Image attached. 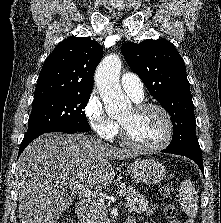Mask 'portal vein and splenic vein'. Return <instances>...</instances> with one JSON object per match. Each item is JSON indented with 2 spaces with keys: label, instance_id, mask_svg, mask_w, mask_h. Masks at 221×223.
<instances>
[{
  "label": "portal vein and splenic vein",
  "instance_id": "1",
  "mask_svg": "<svg viewBox=\"0 0 221 223\" xmlns=\"http://www.w3.org/2000/svg\"><path fill=\"white\" fill-rule=\"evenodd\" d=\"M72 192L86 198L88 201L95 205H100L101 203H104V201L92 190L89 188H86L84 186H76L74 188H71ZM125 191L121 190L119 192V195H124Z\"/></svg>",
  "mask_w": 221,
  "mask_h": 223
}]
</instances>
